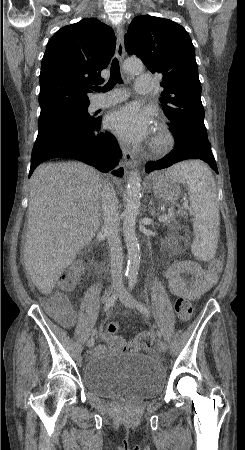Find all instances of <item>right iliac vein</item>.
Returning <instances> with one entry per match:
<instances>
[{
  "label": "right iliac vein",
  "instance_id": "obj_1",
  "mask_svg": "<svg viewBox=\"0 0 245 450\" xmlns=\"http://www.w3.org/2000/svg\"><path fill=\"white\" fill-rule=\"evenodd\" d=\"M116 289H117V286H116V285L113 286V290H116ZM94 343H95L94 338H90V339L88 340V342H87V346H88L89 348H91V347L94 345Z\"/></svg>",
  "mask_w": 245,
  "mask_h": 450
}]
</instances>
